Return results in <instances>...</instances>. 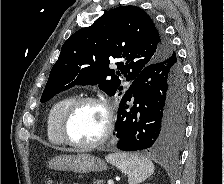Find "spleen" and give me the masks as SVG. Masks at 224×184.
<instances>
[{
	"mask_svg": "<svg viewBox=\"0 0 224 184\" xmlns=\"http://www.w3.org/2000/svg\"><path fill=\"white\" fill-rule=\"evenodd\" d=\"M106 161L128 176L129 184H139L154 172V164L146 157L128 153H112Z\"/></svg>",
	"mask_w": 224,
	"mask_h": 184,
	"instance_id": "obj_1",
	"label": "spleen"
}]
</instances>
